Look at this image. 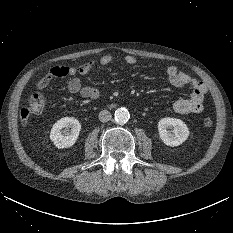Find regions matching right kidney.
Instances as JSON below:
<instances>
[{
	"mask_svg": "<svg viewBox=\"0 0 233 233\" xmlns=\"http://www.w3.org/2000/svg\"><path fill=\"white\" fill-rule=\"evenodd\" d=\"M64 128H71V131L67 135L62 134L66 133L67 130H62ZM81 130V124L74 117H64L58 120L52 127L50 133V139L54 145L61 148L72 147L78 139L79 133Z\"/></svg>",
	"mask_w": 233,
	"mask_h": 233,
	"instance_id": "right-kidney-1",
	"label": "right kidney"
}]
</instances>
